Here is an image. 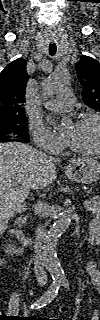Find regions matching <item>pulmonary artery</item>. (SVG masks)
<instances>
[{
  "mask_svg": "<svg viewBox=\"0 0 100 320\" xmlns=\"http://www.w3.org/2000/svg\"><path fill=\"white\" fill-rule=\"evenodd\" d=\"M74 104V98L69 89L61 90L57 99L46 103L48 109L64 112L68 111Z\"/></svg>",
  "mask_w": 100,
  "mask_h": 320,
  "instance_id": "1",
  "label": "pulmonary artery"
}]
</instances>
